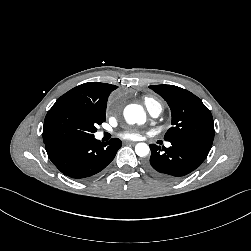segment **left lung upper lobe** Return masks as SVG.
Listing matches in <instances>:
<instances>
[{
	"instance_id": "5c2ea615",
	"label": "left lung upper lobe",
	"mask_w": 251,
	"mask_h": 251,
	"mask_svg": "<svg viewBox=\"0 0 251 251\" xmlns=\"http://www.w3.org/2000/svg\"><path fill=\"white\" fill-rule=\"evenodd\" d=\"M149 88L166 100L171 109L173 127L165 134L166 141L191 140L212 145L213 118L197 96L174 85H152Z\"/></svg>"
}]
</instances>
